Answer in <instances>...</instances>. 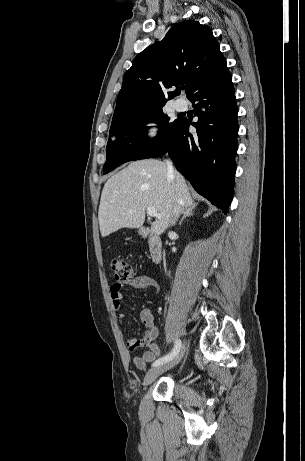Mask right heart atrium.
I'll use <instances>...</instances> for the list:
<instances>
[{"label": "right heart atrium", "mask_w": 305, "mask_h": 461, "mask_svg": "<svg viewBox=\"0 0 305 461\" xmlns=\"http://www.w3.org/2000/svg\"><path fill=\"white\" fill-rule=\"evenodd\" d=\"M161 135L162 127L159 122L155 120H148L143 124L141 137L145 143H155L160 139Z\"/></svg>", "instance_id": "right-heart-atrium-1"}]
</instances>
